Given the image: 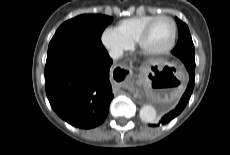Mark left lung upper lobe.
Wrapping results in <instances>:
<instances>
[{"mask_svg": "<svg viewBox=\"0 0 230 155\" xmlns=\"http://www.w3.org/2000/svg\"><path fill=\"white\" fill-rule=\"evenodd\" d=\"M176 22L178 25L179 36H178V43L174 48V50L172 51V53L175 56L179 57L180 59H181L180 57L181 54L183 55L186 54L190 58L193 55V59H194V44L192 42V38L188 26L178 18H176Z\"/></svg>", "mask_w": 230, "mask_h": 155, "instance_id": "1", "label": "left lung upper lobe"}]
</instances>
